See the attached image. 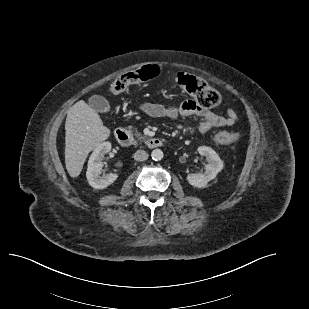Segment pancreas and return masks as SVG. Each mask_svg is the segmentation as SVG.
Instances as JSON below:
<instances>
[{
    "label": "pancreas",
    "instance_id": "cf45deb5",
    "mask_svg": "<svg viewBox=\"0 0 309 309\" xmlns=\"http://www.w3.org/2000/svg\"><path fill=\"white\" fill-rule=\"evenodd\" d=\"M132 128H133L132 126L129 127V129H132ZM135 135H136L137 140L140 142H145L147 140V137L138 133L137 130H135Z\"/></svg>",
    "mask_w": 309,
    "mask_h": 309
}]
</instances>
